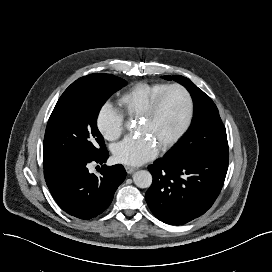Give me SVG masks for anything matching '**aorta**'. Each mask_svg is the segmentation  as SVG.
I'll use <instances>...</instances> for the list:
<instances>
[{
  "label": "aorta",
  "mask_w": 272,
  "mask_h": 272,
  "mask_svg": "<svg viewBox=\"0 0 272 272\" xmlns=\"http://www.w3.org/2000/svg\"><path fill=\"white\" fill-rule=\"evenodd\" d=\"M133 181L139 188H148L152 184V175L149 171L140 170L134 173Z\"/></svg>",
  "instance_id": "762f6f07"
}]
</instances>
